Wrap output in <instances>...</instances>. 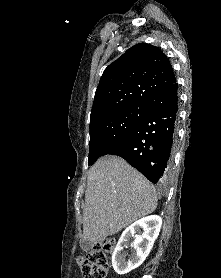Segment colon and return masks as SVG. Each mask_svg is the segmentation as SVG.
Here are the masks:
<instances>
[{"instance_id":"1","label":"colon","mask_w":221,"mask_h":278,"mask_svg":"<svg viewBox=\"0 0 221 278\" xmlns=\"http://www.w3.org/2000/svg\"><path fill=\"white\" fill-rule=\"evenodd\" d=\"M116 241L105 239L96 244L85 256L78 259V266L84 278H106L109 255L114 251Z\"/></svg>"}]
</instances>
